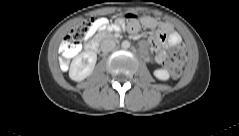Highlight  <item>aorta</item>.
I'll return each mask as SVG.
<instances>
[{
    "label": "aorta",
    "mask_w": 239,
    "mask_h": 136,
    "mask_svg": "<svg viewBox=\"0 0 239 136\" xmlns=\"http://www.w3.org/2000/svg\"><path fill=\"white\" fill-rule=\"evenodd\" d=\"M121 46H122V48L127 49L130 47V42L125 40L122 42Z\"/></svg>",
    "instance_id": "aorta-1"
}]
</instances>
